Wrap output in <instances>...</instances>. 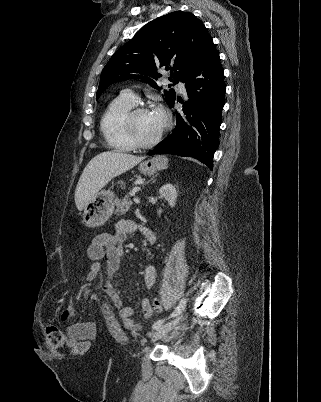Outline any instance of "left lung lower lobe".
I'll return each instance as SVG.
<instances>
[{
  "label": "left lung lower lobe",
  "mask_w": 321,
  "mask_h": 402,
  "mask_svg": "<svg viewBox=\"0 0 321 402\" xmlns=\"http://www.w3.org/2000/svg\"><path fill=\"white\" fill-rule=\"evenodd\" d=\"M219 53L210 38L198 57L181 78L185 82L188 100L177 112L174 131L148 152L176 154L196 158L211 170L213 156L219 146L221 112L226 85ZM176 99V98H175ZM175 99L169 105L173 107Z\"/></svg>",
  "instance_id": "1"
}]
</instances>
